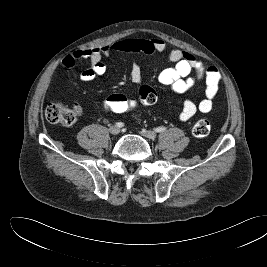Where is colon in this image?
<instances>
[{"label":"colon","mask_w":267,"mask_h":267,"mask_svg":"<svg viewBox=\"0 0 267 267\" xmlns=\"http://www.w3.org/2000/svg\"><path fill=\"white\" fill-rule=\"evenodd\" d=\"M157 93L149 86H141L137 97L127 96L122 93L108 95L103 101L106 111L117 114H124L137 109L140 105L149 106L156 102ZM46 119L52 124L70 126L76 121V111L62 103H51L45 110ZM211 129L207 119L197 120L192 128L195 137H205Z\"/></svg>","instance_id":"1"}]
</instances>
